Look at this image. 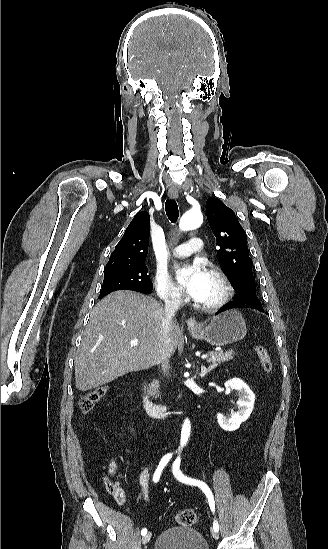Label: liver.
<instances>
[{"instance_id":"6515ba94","label":"liver","mask_w":328,"mask_h":549,"mask_svg":"<svg viewBox=\"0 0 328 549\" xmlns=\"http://www.w3.org/2000/svg\"><path fill=\"white\" fill-rule=\"evenodd\" d=\"M165 311L152 297L134 291H115L94 307L75 357V383L89 391L114 379L159 365ZM167 355L177 349L179 327L170 321ZM138 341L131 347L130 341Z\"/></svg>"}]
</instances>
